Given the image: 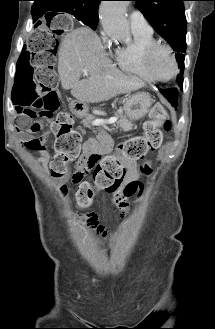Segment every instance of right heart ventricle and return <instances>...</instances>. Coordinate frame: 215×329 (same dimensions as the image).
Instances as JSON below:
<instances>
[{
  "label": "right heart ventricle",
  "instance_id": "e07e8e85",
  "mask_svg": "<svg viewBox=\"0 0 215 329\" xmlns=\"http://www.w3.org/2000/svg\"><path fill=\"white\" fill-rule=\"evenodd\" d=\"M154 42L152 33L133 32V41L116 49L114 53L116 63L127 73L152 81L143 69L142 54L145 48Z\"/></svg>",
  "mask_w": 215,
  "mask_h": 329
}]
</instances>
